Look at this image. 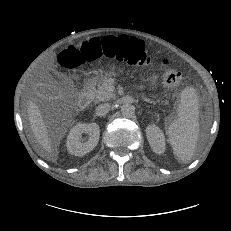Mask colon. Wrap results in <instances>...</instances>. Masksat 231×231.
<instances>
[{
    "label": "colon",
    "mask_w": 231,
    "mask_h": 231,
    "mask_svg": "<svg viewBox=\"0 0 231 231\" xmlns=\"http://www.w3.org/2000/svg\"><path fill=\"white\" fill-rule=\"evenodd\" d=\"M114 59L133 66H151L154 60L145 52L144 43L131 36L105 37L92 39L82 49L70 48L59 56V63L65 68H75L86 62H92L99 58ZM164 84L167 87H176L181 82V73L171 67V61L164 59Z\"/></svg>",
    "instance_id": "colon-1"
}]
</instances>
